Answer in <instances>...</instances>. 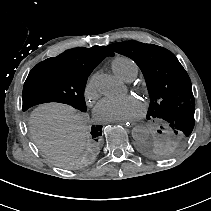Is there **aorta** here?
Returning <instances> with one entry per match:
<instances>
[{
    "instance_id": "obj_1",
    "label": "aorta",
    "mask_w": 211,
    "mask_h": 211,
    "mask_svg": "<svg viewBox=\"0 0 211 211\" xmlns=\"http://www.w3.org/2000/svg\"><path fill=\"white\" fill-rule=\"evenodd\" d=\"M98 91L108 97L119 96L124 91L122 83L114 76L109 74H100L96 80ZM149 131L144 125H137L132 129V137L135 141L146 140Z\"/></svg>"
}]
</instances>
